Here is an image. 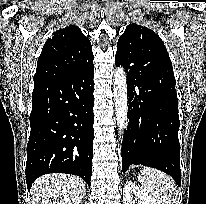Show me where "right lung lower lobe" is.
Returning a JSON list of instances; mask_svg holds the SVG:
<instances>
[{"label":"right lung lower lobe","mask_w":206,"mask_h":204,"mask_svg":"<svg viewBox=\"0 0 206 204\" xmlns=\"http://www.w3.org/2000/svg\"><path fill=\"white\" fill-rule=\"evenodd\" d=\"M94 65L34 85L27 145L28 189L39 176L68 173L90 186L94 139Z\"/></svg>","instance_id":"obj_1"}]
</instances>
